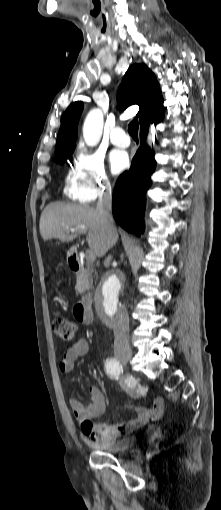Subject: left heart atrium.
<instances>
[{"instance_id": "left-heart-atrium-1", "label": "left heart atrium", "mask_w": 221, "mask_h": 510, "mask_svg": "<svg viewBox=\"0 0 221 510\" xmlns=\"http://www.w3.org/2000/svg\"><path fill=\"white\" fill-rule=\"evenodd\" d=\"M128 159L124 152L115 150L110 155V165L114 173H119L127 166Z\"/></svg>"}]
</instances>
